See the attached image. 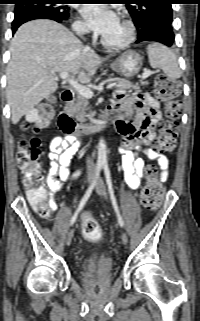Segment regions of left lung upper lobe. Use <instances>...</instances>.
<instances>
[{
	"label": "left lung upper lobe",
	"instance_id": "obj_1",
	"mask_svg": "<svg viewBox=\"0 0 200 321\" xmlns=\"http://www.w3.org/2000/svg\"><path fill=\"white\" fill-rule=\"evenodd\" d=\"M137 29L150 22L172 23L174 0H124Z\"/></svg>",
	"mask_w": 200,
	"mask_h": 321
}]
</instances>
